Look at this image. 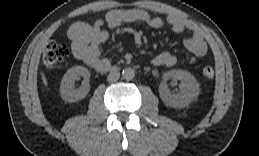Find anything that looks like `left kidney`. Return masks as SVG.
<instances>
[{"mask_svg":"<svg viewBox=\"0 0 259 156\" xmlns=\"http://www.w3.org/2000/svg\"><path fill=\"white\" fill-rule=\"evenodd\" d=\"M169 79L180 81V92L171 93L166 81ZM200 93V86L196 78L184 70H170L164 72L163 81L159 86L161 100L170 107L183 108L195 100Z\"/></svg>","mask_w":259,"mask_h":156,"instance_id":"5707ae66","label":"left kidney"}]
</instances>
